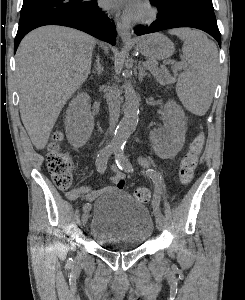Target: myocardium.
<instances>
[{"label": "myocardium", "mask_w": 245, "mask_h": 300, "mask_svg": "<svg viewBox=\"0 0 245 300\" xmlns=\"http://www.w3.org/2000/svg\"><path fill=\"white\" fill-rule=\"evenodd\" d=\"M141 5L144 8V13L138 16L130 17L131 21L140 24L149 23L153 21L157 15V11L154 8V6L149 0H143L141 2Z\"/></svg>", "instance_id": "f54148a6"}]
</instances>
